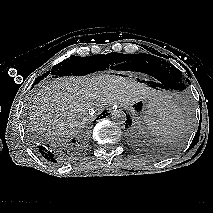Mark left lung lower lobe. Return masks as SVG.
Returning a JSON list of instances; mask_svg holds the SVG:
<instances>
[{"mask_svg": "<svg viewBox=\"0 0 213 213\" xmlns=\"http://www.w3.org/2000/svg\"><path fill=\"white\" fill-rule=\"evenodd\" d=\"M156 79H157L156 82H151V81L147 82L150 85V87H152V88L160 87L165 90L174 89L173 84L169 80H167L165 78H156ZM126 116H127L126 127H128L131 125L132 119L130 118L129 115L126 114Z\"/></svg>", "mask_w": 213, "mask_h": 213, "instance_id": "obj_1", "label": "left lung lower lobe"}]
</instances>
